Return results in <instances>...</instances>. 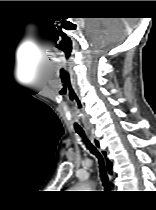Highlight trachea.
<instances>
[{
	"mask_svg": "<svg viewBox=\"0 0 156 210\" xmlns=\"http://www.w3.org/2000/svg\"><path fill=\"white\" fill-rule=\"evenodd\" d=\"M77 133L82 137L83 142L86 144L87 148L90 150L91 153L95 154L99 160L100 165V177L103 182V185L108 188L110 186L107 171L104 165V160L102 155L97 151V149L88 141L85 136L84 131H77Z\"/></svg>",
	"mask_w": 156,
	"mask_h": 210,
	"instance_id": "trachea-1",
	"label": "trachea"
}]
</instances>
